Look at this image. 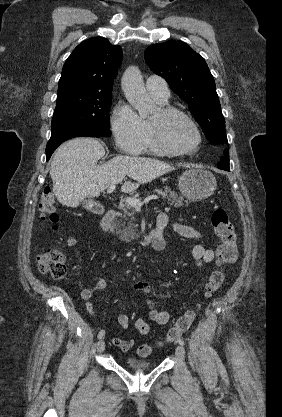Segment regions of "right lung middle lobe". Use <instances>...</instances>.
I'll use <instances>...</instances> for the list:
<instances>
[{
	"instance_id": "1",
	"label": "right lung middle lobe",
	"mask_w": 282,
	"mask_h": 417,
	"mask_svg": "<svg viewBox=\"0 0 282 417\" xmlns=\"http://www.w3.org/2000/svg\"><path fill=\"white\" fill-rule=\"evenodd\" d=\"M111 101V92L85 90L58 93L51 134L83 128L110 137Z\"/></svg>"
}]
</instances>
